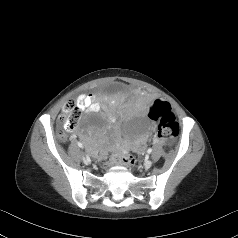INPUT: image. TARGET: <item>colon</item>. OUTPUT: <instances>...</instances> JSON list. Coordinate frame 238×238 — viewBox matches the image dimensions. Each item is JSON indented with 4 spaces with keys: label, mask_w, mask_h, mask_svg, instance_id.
<instances>
[{
    "label": "colon",
    "mask_w": 238,
    "mask_h": 238,
    "mask_svg": "<svg viewBox=\"0 0 238 238\" xmlns=\"http://www.w3.org/2000/svg\"><path fill=\"white\" fill-rule=\"evenodd\" d=\"M149 117L158 123L157 139L161 142L172 140L178 135L179 123L169 103L157 100L149 108ZM81 118V108L74 100H68L59 116L61 127L59 136L65 140L67 133L75 129ZM134 157L128 153H121L112 156L107 166L124 165L131 166Z\"/></svg>",
    "instance_id": "colon-1"
}]
</instances>
